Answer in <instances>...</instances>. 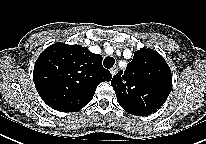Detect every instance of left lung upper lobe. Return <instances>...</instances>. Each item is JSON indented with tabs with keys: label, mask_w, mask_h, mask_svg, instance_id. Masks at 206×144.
<instances>
[{
	"label": "left lung upper lobe",
	"mask_w": 206,
	"mask_h": 144,
	"mask_svg": "<svg viewBox=\"0 0 206 144\" xmlns=\"http://www.w3.org/2000/svg\"><path fill=\"white\" fill-rule=\"evenodd\" d=\"M171 70L162 56L151 49L135 51L125 72L116 74L111 85L117 102L127 112L146 116L159 109L172 89Z\"/></svg>",
	"instance_id": "left-lung-upper-lobe-1"
}]
</instances>
